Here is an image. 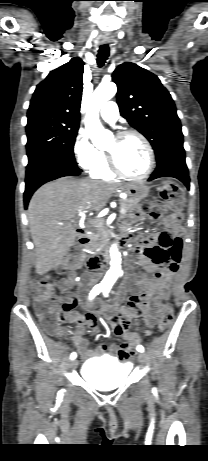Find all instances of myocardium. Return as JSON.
<instances>
[{"label": "myocardium", "mask_w": 208, "mask_h": 461, "mask_svg": "<svg viewBox=\"0 0 208 461\" xmlns=\"http://www.w3.org/2000/svg\"><path fill=\"white\" fill-rule=\"evenodd\" d=\"M130 136H135L139 138L147 150L148 157H149V163H148V167L146 171L142 175H139V176L129 175L120 168V166L118 165L116 161L114 153L110 151H106L105 155L107 158L108 166L111 172L115 174L116 176H119V177H122L128 180H136V181L145 180L152 174L154 167H155V153H154L153 147L151 143L149 142V140L141 132L137 130H133V129L121 131L115 135V138L116 140L121 141Z\"/></svg>", "instance_id": "myocardium-1"}]
</instances>
